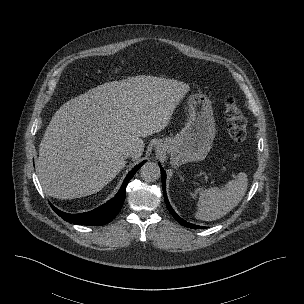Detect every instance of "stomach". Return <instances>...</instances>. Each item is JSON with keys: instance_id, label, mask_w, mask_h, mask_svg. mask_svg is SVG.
Instances as JSON below:
<instances>
[{"instance_id": "0dacf381", "label": "stomach", "mask_w": 304, "mask_h": 304, "mask_svg": "<svg viewBox=\"0 0 304 304\" xmlns=\"http://www.w3.org/2000/svg\"><path fill=\"white\" fill-rule=\"evenodd\" d=\"M189 119L174 137H166L157 148L171 155V162L178 166L186 162L203 160L210 151L215 137V122L210 99L202 94L190 95Z\"/></svg>"}]
</instances>
